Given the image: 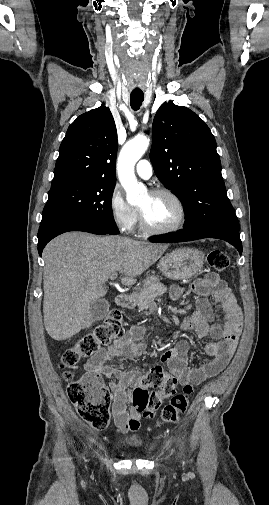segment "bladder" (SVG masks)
I'll return each instance as SVG.
<instances>
[{
  "mask_svg": "<svg viewBox=\"0 0 269 505\" xmlns=\"http://www.w3.org/2000/svg\"><path fill=\"white\" fill-rule=\"evenodd\" d=\"M124 444H125V445H132V444H130V443H124Z\"/></svg>",
  "mask_w": 269,
  "mask_h": 505,
  "instance_id": "bladder-1",
  "label": "bladder"
}]
</instances>
